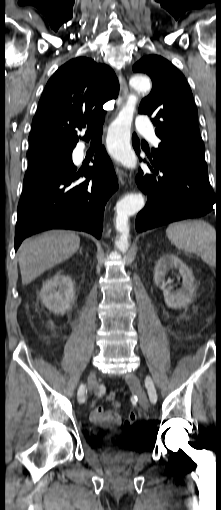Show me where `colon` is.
<instances>
[{
	"label": "colon",
	"instance_id": "colon-1",
	"mask_svg": "<svg viewBox=\"0 0 221 510\" xmlns=\"http://www.w3.org/2000/svg\"><path fill=\"white\" fill-rule=\"evenodd\" d=\"M115 397H116V395H115V393H114V392H110V393L108 394V396H107V398H108L110 401H112V402L114 403V405H115V406H119L120 404H119V402H118V401H116ZM135 421H136V414H135L133 411H131V412H129V413H128V415H127V417H126V419H125V421H124V424H125V425H131V424H133Z\"/></svg>",
	"mask_w": 221,
	"mask_h": 510
}]
</instances>
